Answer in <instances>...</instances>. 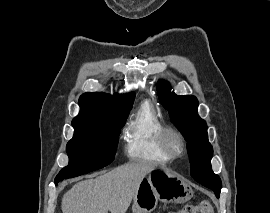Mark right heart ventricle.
I'll return each instance as SVG.
<instances>
[{"label":"right heart ventricle","instance_id":"e07e8e85","mask_svg":"<svg viewBox=\"0 0 270 213\" xmlns=\"http://www.w3.org/2000/svg\"><path fill=\"white\" fill-rule=\"evenodd\" d=\"M165 124L149 102L140 105L125 132V152L135 161L166 163L171 160L160 148Z\"/></svg>","mask_w":270,"mask_h":213}]
</instances>
